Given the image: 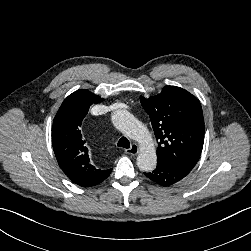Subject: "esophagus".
I'll use <instances>...</instances> for the list:
<instances>
[{"instance_id": "obj_1", "label": "esophagus", "mask_w": 251, "mask_h": 251, "mask_svg": "<svg viewBox=\"0 0 251 251\" xmlns=\"http://www.w3.org/2000/svg\"><path fill=\"white\" fill-rule=\"evenodd\" d=\"M140 151L139 146L137 144H132L131 147L129 149H126V153L129 155H136L138 154Z\"/></svg>"}]
</instances>
